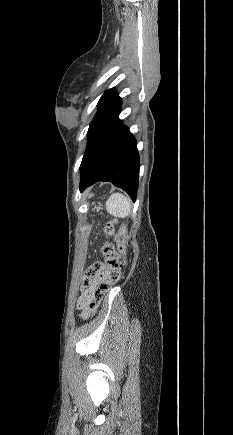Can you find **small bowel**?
<instances>
[{"label": "small bowel", "mask_w": 233, "mask_h": 435, "mask_svg": "<svg viewBox=\"0 0 233 435\" xmlns=\"http://www.w3.org/2000/svg\"><path fill=\"white\" fill-rule=\"evenodd\" d=\"M111 276L110 271H104L100 274L101 279H108ZM95 286H91L89 288L83 289L82 293L78 299V307L82 310V317H86V311L88 309L89 304L91 303L93 299V293H94Z\"/></svg>", "instance_id": "1"}]
</instances>
